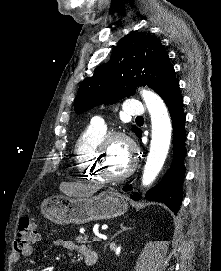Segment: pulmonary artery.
Listing matches in <instances>:
<instances>
[{
	"mask_svg": "<svg viewBox=\"0 0 221 271\" xmlns=\"http://www.w3.org/2000/svg\"><path fill=\"white\" fill-rule=\"evenodd\" d=\"M143 102H135V98H126L123 102L127 117H134V112H144ZM87 127H106L105 117H94V122H87ZM94 133H108V128H89V133H81V138H94Z\"/></svg>",
	"mask_w": 221,
	"mask_h": 271,
	"instance_id": "1",
	"label": "pulmonary artery"
}]
</instances>
